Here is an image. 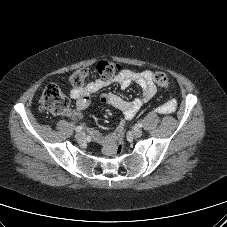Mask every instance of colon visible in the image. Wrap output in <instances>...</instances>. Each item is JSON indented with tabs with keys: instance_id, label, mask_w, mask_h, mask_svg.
<instances>
[{
	"instance_id": "5ec220e1",
	"label": "colon",
	"mask_w": 227,
	"mask_h": 227,
	"mask_svg": "<svg viewBox=\"0 0 227 227\" xmlns=\"http://www.w3.org/2000/svg\"><path fill=\"white\" fill-rule=\"evenodd\" d=\"M121 70L119 64L111 61H100L96 66V71L102 79L109 80L114 78ZM88 76V71L84 68L76 70L70 76V83L74 87H81ZM154 81L160 88H165L169 84L168 76L163 72L154 73ZM68 97L61 91V89L54 85H48L40 98V110L52 115H62L67 112L69 107ZM122 152V143L119 142L116 154Z\"/></svg>"
}]
</instances>
